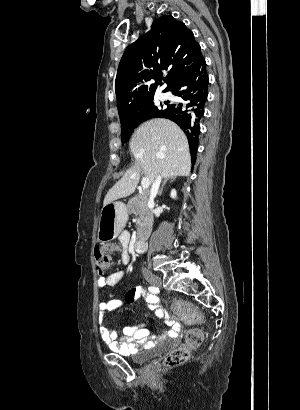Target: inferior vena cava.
<instances>
[{
  "mask_svg": "<svg viewBox=\"0 0 300 410\" xmlns=\"http://www.w3.org/2000/svg\"><path fill=\"white\" fill-rule=\"evenodd\" d=\"M161 176H157V178L155 179V181L152 184L151 190H150V196H149V200H148V207L150 209H152L155 205L154 203V199L158 194V189L161 183Z\"/></svg>",
  "mask_w": 300,
  "mask_h": 410,
  "instance_id": "inferior-vena-cava-1",
  "label": "inferior vena cava"
}]
</instances>
